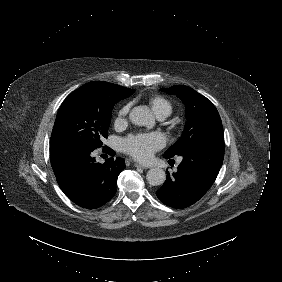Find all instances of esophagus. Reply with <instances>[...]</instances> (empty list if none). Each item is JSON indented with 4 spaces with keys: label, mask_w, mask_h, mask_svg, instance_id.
<instances>
[{
    "label": "esophagus",
    "mask_w": 282,
    "mask_h": 282,
    "mask_svg": "<svg viewBox=\"0 0 282 282\" xmlns=\"http://www.w3.org/2000/svg\"><path fill=\"white\" fill-rule=\"evenodd\" d=\"M134 166L137 167V168H140V169H147L146 166L139 164V163H134Z\"/></svg>",
    "instance_id": "esophagus-1"
}]
</instances>
